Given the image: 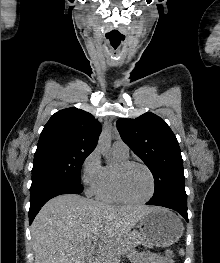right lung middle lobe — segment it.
Masks as SVG:
<instances>
[{
    "mask_svg": "<svg viewBox=\"0 0 220 263\" xmlns=\"http://www.w3.org/2000/svg\"><path fill=\"white\" fill-rule=\"evenodd\" d=\"M91 152L68 148L36 152L33 161L32 181L40 178H58L81 183V167Z\"/></svg>",
    "mask_w": 220,
    "mask_h": 263,
    "instance_id": "obj_1",
    "label": "right lung middle lobe"
}]
</instances>
